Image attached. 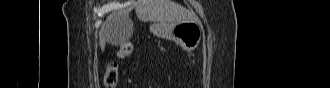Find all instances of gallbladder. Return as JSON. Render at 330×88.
I'll list each match as a JSON object with an SVG mask.
<instances>
[{
    "instance_id": "1",
    "label": "gallbladder",
    "mask_w": 330,
    "mask_h": 88,
    "mask_svg": "<svg viewBox=\"0 0 330 88\" xmlns=\"http://www.w3.org/2000/svg\"><path fill=\"white\" fill-rule=\"evenodd\" d=\"M133 33V25L128 21L119 19V23L114 27V36L117 44H123L128 41Z\"/></svg>"
}]
</instances>
